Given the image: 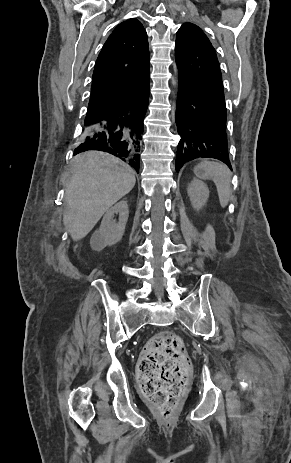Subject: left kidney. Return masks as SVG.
I'll use <instances>...</instances> for the list:
<instances>
[{
	"label": "left kidney",
	"mask_w": 291,
	"mask_h": 463,
	"mask_svg": "<svg viewBox=\"0 0 291 463\" xmlns=\"http://www.w3.org/2000/svg\"><path fill=\"white\" fill-rule=\"evenodd\" d=\"M187 192L193 208L197 211L206 204L209 197V189L199 180L191 181L188 185Z\"/></svg>",
	"instance_id": "obj_1"
}]
</instances>
